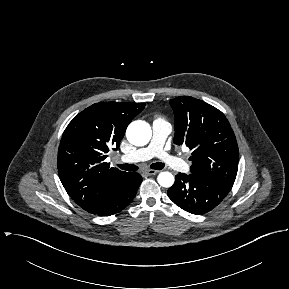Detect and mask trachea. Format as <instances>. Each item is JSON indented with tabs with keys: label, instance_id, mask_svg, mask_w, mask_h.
Segmentation results:
<instances>
[{
	"label": "trachea",
	"instance_id": "1",
	"mask_svg": "<svg viewBox=\"0 0 289 289\" xmlns=\"http://www.w3.org/2000/svg\"><path fill=\"white\" fill-rule=\"evenodd\" d=\"M119 168H121L122 170H126V171H136L138 170V167L134 164H122V165H118ZM152 169L155 170H161L165 167L164 163H153L150 166Z\"/></svg>",
	"mask_w": 289,
	"mask_h": 289
}]
</instances>
